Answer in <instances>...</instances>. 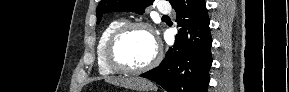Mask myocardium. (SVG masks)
<instances>
[{"instance_id":"1","label":"myocardium","mask_w":289,"mask_h":92,"mask_svg":"<svg viewBox=\"0 0 289 92\" xmlns=\"http://www.w3.org/2000/svg\"><path fill=\"white\" fill-rule=\"evenodd\" d=\"M142 28L147 30L153 37L155 42V54L153 58L141 67H131L123 63L117 55V48L123 37L132 29ZM162 56V48L155 37L154 30L151 25L144 21H127L120 25L110 36L105 48V58L107 64L117 72L128 74H139L154 68L160 61Z\"/></svg>"}]
</instances>
